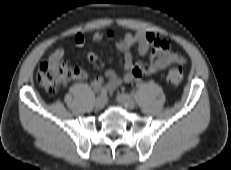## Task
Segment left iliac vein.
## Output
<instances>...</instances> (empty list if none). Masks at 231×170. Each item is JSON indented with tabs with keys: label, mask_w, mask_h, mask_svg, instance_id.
<instances>
[{
	"label": "left iliac vein",
	"mask_w": 231,
	"mask_h": 170,
	"mask_svg": "<svg viewBox=\"0 0 231 170\" xmlns=\"http://www.w3.org/2000/svg\"><path fill=\"white\" fill-rule=\"evenodd\" d=\"M116 99L121 105L127 107L130 110H133L136 106L135 102L128 94H118Z\"/></svg>",
	"instance_id": "obj_1"
}]
</instances>
